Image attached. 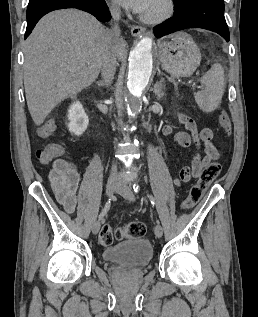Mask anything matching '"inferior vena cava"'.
Segmentation results:
<instances>
[{
    "label": "inferior vena cava",
    "instance_id": "1",
    "mask_svg": "<svg viewBox=\"0 0 258 317\" xmlns=\"http://www.w3.org/2000/svg\"><path fill=\"white\" fill-rule=\"evenodd\" d=\"M112 16L115 20L114 26L110 28L106 36V44L104 54L101 60V74L104 82L110 84L116 70L117 62V50L118 42L120 40V28L118 20H120V8L119 6H111ZM112 174H110V179H119V174H114L117 171L116 167H112Z\"/></svg>",
    "mask_w": 258,
    "mask_h": 317
}]
</instances>
